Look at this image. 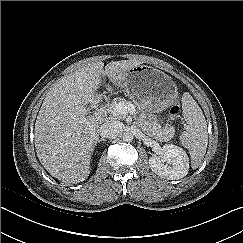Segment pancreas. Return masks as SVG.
I'll use <instances>...</instances> for the list:
<instances>
[{"label":"pancreas","instance_id":"1","mask_svg":"<svg viewBox=\"0 0 243 243\" xmlns=\"http://www.w3.org/2000/svg\"><path fill=\"white\" fill-rule=\"evenodd\" d=\"M119 103L127 104L129 103L124 98L117 97L114 98L108 108V112L111 114L113 118L121 119L124 117V115L121 114H114L115 113V107ZM146 133L150 136L156 139L157 141L163 142V141H169L174 136V130L173 128H161L160 124L157 122V120H153L151 122L146 123Z\"/></svg>","mask_w":243,"mask_h":243}]
</instances>
